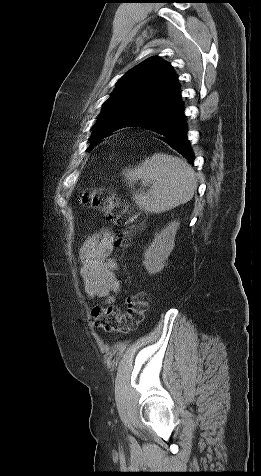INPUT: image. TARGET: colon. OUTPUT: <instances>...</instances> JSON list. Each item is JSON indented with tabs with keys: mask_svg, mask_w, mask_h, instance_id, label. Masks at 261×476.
Listing matches in <instances>:
<instances>
[{
	"mask_svg": "<svg viewBox=\"0 0 261 476\" xmlns=\"http://www.w3.org/2000/svg\"><path fill=\"white\" fill-rule=\"evenodd\" d=\"M79 200L83 205L101 212L108 220L124 228L115 242L119 248L127 247L133 235L143 226V218L109 189L84 191ZM147 308L148 297L145 293L132 294L126 299L124 313L115 306H95L91 311L92 325L95 329L107 333H127L143 321Z\"/></svg>",
	"mask_w": 261,
	"mask_h": 476,
	"instance_id": "colon-1",
	"label": "colon"
}]
</instances>
